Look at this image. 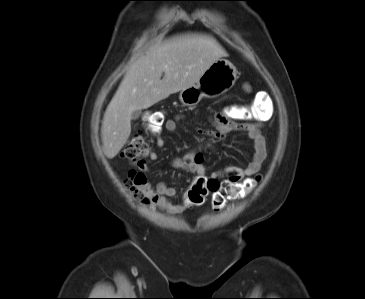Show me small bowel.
I'll return each mask as SVG.
<instances>
[{
    "instance_id": "c3829d8e",
    "label": "small bowel",
    "mask_w": 365,
    "mask_h": 299,
    "mask_svg": "<svg viewBox=\"0 0 365 299\" xmlns=\"http://www.w3.org/2000/svg\"><path fill=\"white\" fill-rule=\"evenodd\" d=\"M213 123L214 130H203L201 132L208 136H214L217 138L223 137L235 130H243L247 133L248 138L253 144V155L247 166L243 168H230L224 172H215L208 176L203 165V155L200 152L192 151L181 157L175 158L172 162L173 167L195 173L198 177V180L196 181L197 184L207 182L230 183L240 181L245 177L257 174L261 170L267 157L266 142L260 131L262 120H246L238 123L234 120L224 119L222 116L214 115ZM176 128V119H168L165 121L164 129L166 131L174 132ZM161 133L162 132L160 131L157 132L156 144L158 147H163L165 145ZM148 156L152 161H157L159 159V155L156 151H151ZM138 167L143 172H147L149 170L147 164L144 162L139 163ZM223 176L226 178L221 179ZM142 190L150 202L160 209L171 213H179L183 210V205H174L169 201V198L175 196L176 190L164 182L157 183L155 187L145 184L142 187Z\"/></svg>"
}]
</instances>
